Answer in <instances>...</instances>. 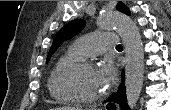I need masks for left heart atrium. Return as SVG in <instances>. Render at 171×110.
Masks as SVG:
<instances>
[{
	"mask_svg": "<svg viewBox=\"0 0 171 110\" xmlns=\"http://www.w3.org/2000/svg\"><path fill=\"white\" fill-rule=\"evenodd\" d=\"M97 76L102 84L108 88L116 79V68L111 62L103 63L97 70Z\"/></svg>",
	"mask_w": 171,
	"mask_h": 110,
	"instance_id": "39dd6f15",
	"label": "left heart atrium"
}]
</instances>
